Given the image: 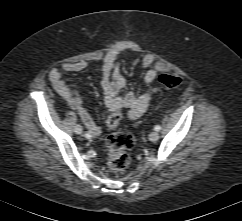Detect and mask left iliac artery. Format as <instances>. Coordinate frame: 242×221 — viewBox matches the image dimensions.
<instances>
[{
    "mask_svg": "<svg viewBox=\"0 0 242 221\" xmlns=\"http://www.w3.org/2000/svg\"><path fill=\"white\" fill-rule=\"evenodd\" d=\"M156 131H160L161 130V127L159 125H156L155 128H154Z\"/></svg>",
    "mask_w": 242,
    "mask_h": 221,
    "instance_id": "1",
    "label": "left iliac artery"
}]
</instances>
